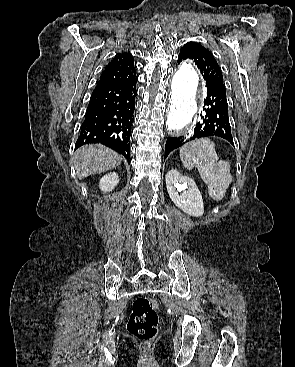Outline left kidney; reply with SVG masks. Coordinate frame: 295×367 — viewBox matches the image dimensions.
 <instances>
[{
	"label": "left kidney",
	"mask_w": 295,
	"mask_h": 367,
	"mask_svg": "<svg viewBox=\"0 0 295 367\" xmlns=\"http://www.w3.org/2000/svg\"><path fill=\"white\" fill-rule=\"evenodd\" d=\"M165 180L170 199L178 208L193 217L203 215L204 204L202 195L194 180L183 176L176 169L168 171Z\"/></svg>",
	"instance_id": "1"
}]
</instances>
